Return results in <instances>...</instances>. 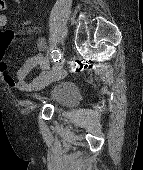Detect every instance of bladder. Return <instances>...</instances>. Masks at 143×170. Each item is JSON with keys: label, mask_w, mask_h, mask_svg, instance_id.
Here are the masks:
<instances>
[{"label": "bladder", "mask_w": 143, "mask_h": 170, "mask_svg": "<svg viewBox=\"0 0 143 170\" xmlns=\"http://www.w3.org/2000/svg\"><path fill=\"white\" fill-rule=\"evenodd\" d=\"M79 99V91L70 81L57 82L49 92L50 102L59 107H72L79 102Z\"/></svg>", "instance_id": "31cf9c89"}]
</instances>
